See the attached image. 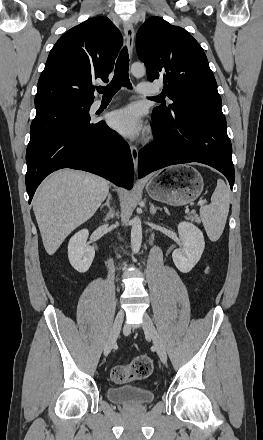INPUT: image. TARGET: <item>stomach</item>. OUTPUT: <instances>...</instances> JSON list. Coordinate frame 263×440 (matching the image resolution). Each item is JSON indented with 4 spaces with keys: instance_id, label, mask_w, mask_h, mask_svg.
Listing matches in <instances>:
<instances>
[{
    "instance_id": "0dacf381",
    "label": "stomach",
    "mask_w": 263,
    "mask_h": 440,
    "mask_svg": "<svg viewBox=\"0 0 263 440\" xmlns=\"http://www.w3.org/2000/svg\"><path fill=\"white\" fill-rule=\"evenodd\" d=\"M203 186V178L196 169L176 166L152 176L146 183V191L154 200L182 206L196 200Z\"/></svg>"
}]
</instances>
